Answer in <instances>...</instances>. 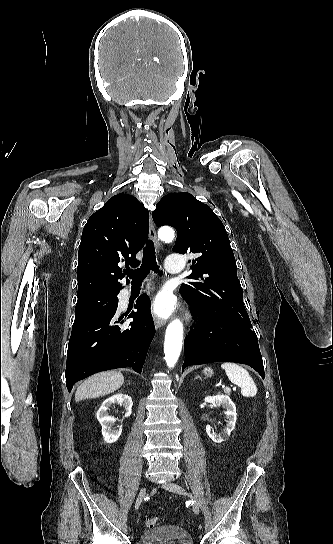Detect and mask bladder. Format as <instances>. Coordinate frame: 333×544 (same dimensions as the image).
Segmentation results:
<instances>
[{"label": "bladder", "mask_w": 333, "mask_h": 544, "mask_svg": "<svg viewBox=\"0 0 333 544\" xmlns=\"http://www.w3.org/2000/svg\"><path fill=\"white\" fill-rule=\"evenodd\" d=\"M138 544H194L191 535L183 528L166 525L143 532Z\"/></svg>", "instance_id": "31cf9c89"}]
</instances>
